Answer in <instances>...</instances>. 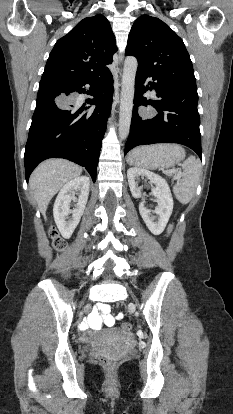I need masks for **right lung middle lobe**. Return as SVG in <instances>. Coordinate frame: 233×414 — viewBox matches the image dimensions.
<instances>
[{
  "mask_svg": "<svg viewBox=\"0 0 233 414\" xmlns=\"http://www.w3.org/2000/svg\"><path fill=\"white\" fill-rule=\"evenodd\" d=\"M50 83H63V84H66V82L47 80V81H40L39 86L50 84Z\"/></svg>",
  "mask_w": 233,
  "mask_h": 414,
  "instance_id": "obj_1",
  "label": "right lung middle lobe"
}]
</instances>
